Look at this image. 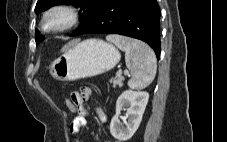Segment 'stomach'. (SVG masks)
I'll return each mask as SVG.
<instances>
[{
  "label": "stomach",
  "instance_id": "0dacf381",
  "mask_svg": "<svg viewBox=\"0 0 227 142\" xmlns=\"http://www.w3.org/2000/svg\"><path fill=\"white\" fill-rule=\"evenodd\" d=\"M120 52L98 39L75 42L54 60L51 75L60 81H75L111 70L120 60Z\"/></svg>",
  "mask_w": 227,
  "mask_h": 142
}]
</instances>
